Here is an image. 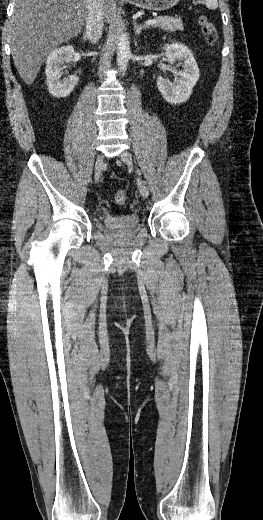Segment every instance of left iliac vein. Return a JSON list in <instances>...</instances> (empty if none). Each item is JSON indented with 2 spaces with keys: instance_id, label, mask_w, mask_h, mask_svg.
Here are the masks:
<instances>
[{
  "instance_id": "1",
  "label": "left iliac vein",
  "mask_w": 263,
  "mask_h": 520,
  "mask_svg": "<svg viewBox=\"0 0 263 520\" xmlns=\"http://www.w3.org/2000/svg\"><path fill=\"white\" fill-rule=\"evenodd\" d=\"M120 159L129 167H133V159L132 155L128 151H123L120 155ZM137 185L139 192L143 198H147L149 195V190L146 185V182L141 178L137 179Z\"/></svg>"
}]
</instances>
